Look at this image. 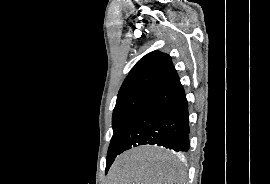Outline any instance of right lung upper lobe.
I'll use <instances>...</instances> for the list:
<instances>
[{
  "mask_svg": "<svg viewBox=\"0 0 270 184\" xmlns=\"http://www.w3.org/2000/svg\"><path fill=\"white\" fill-rule=\"evenodd\" d=\"M178 77L171 57L159 51H153L142 57L124 80L118 100L133 96H148L161 90Z\"/></svg>",
  "mask_w": 270,
  "mask_h": 184,
  "instance_id": "1",
  "label": "right lung upper lobe"
}]
</instances>
